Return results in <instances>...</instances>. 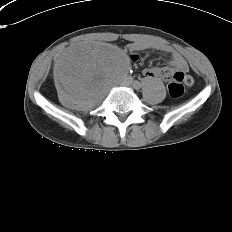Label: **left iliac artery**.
Returning a JSON list of instances; mask_svg holds the SVG:
<instances>
[{"label":"left iliac artery","instance_id":"obj_1","mask_svg":"<svg viewBox=\"0 0 232 232\" xmlns=\"http://www.w3.org/2000/svg\"><path fill=\"white\" fill-rule=\"evenodd\" d=\"M133 86H134V88L139 89L141 87V83L136 80L133 82Z\"/></svg>","mask_w":232,"mask_h":232}]
</instances>
